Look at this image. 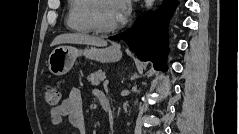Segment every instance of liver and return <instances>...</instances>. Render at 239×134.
Returning a JSON list of instances; mask_svg holds the SVG:
<instances>
[{
  "label": "liver",
  "mask_w": 239,
  "mask_h": 134,
  "mask_svg": "<svg viewBox=\"0 0 239 134\" xmlns=\"http://www.w3.org/2000/svg\"><path fill=\"white\" fill-rule=\"evenodd\" d=\"M87 44L93 46H106L107 41L99 37L91 36L83 33L61 34L57 36L51 46L59 44Z\"/></svg>",
  "instance_id": "6515ba94"
}]
</instances>
